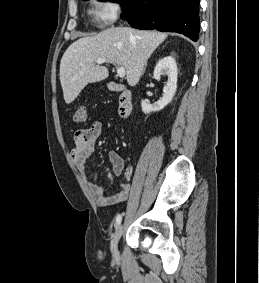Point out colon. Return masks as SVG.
<instances>
[{
    "instance_id": "obj_1",
    "label": "colon",
    "mask_w": 259,
    "mask_h": 283,
    "mask_svg": "<svg viewBox=\"0 0 259 283\" xmlns=\"http://www.w3.org/2000/svg\"><path fill=\"white\" fill-rule=\"evenodd\" d=\"M74 120L78 123H84L87 121V112L84 106H78L74 113Z\"/></svg>"
}]
</instances>
